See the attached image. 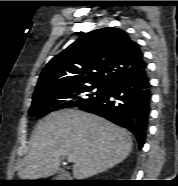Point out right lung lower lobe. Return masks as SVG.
Instances as JSON below:
<instances>
[{
	"label": "right lung lower lobe",
	"instance_id": "right-lung-lower-lobe-1",
	"mask_svg": "<svg viewBox=\"0 0 178 186\" xmlns=\"http://www.w3.org/2000/svg\"><path fill=\"white\" fill-rule=\"evenodd\" d=\"M150 83L146 63L115 77L107 91L80 107L131 131L142 147L150 115Z\"/></svg>",
	"mask_w": 178,
	"mask_h": 186
}]
</instances>
